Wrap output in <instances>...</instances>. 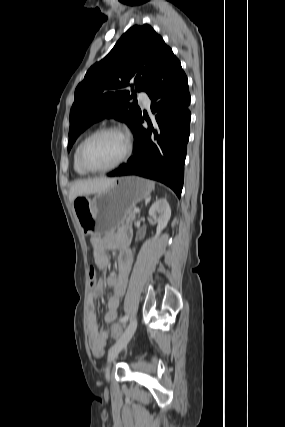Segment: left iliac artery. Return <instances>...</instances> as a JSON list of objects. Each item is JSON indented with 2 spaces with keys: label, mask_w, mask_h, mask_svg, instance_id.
I'll return each mask as SVG.
<instances>
[{
  "label": "left iliac artery",
  "mask_w": 285,
  "mask_h": 427,
  "mask_svg": "<svg viewBox=\"0 0 285 427\" xmlns=\"http://www.w3.org/2000/svg\"><path fill=\"white\" fill-rule=\"evenodd\" d=\"M128 318H129V316H128V315H126V316H124V317L120 318V322H121V323H126V322L128 321Z\"/></svg>",
  "instance_id": "left-iliac-artery-1"
}]
</instances>
